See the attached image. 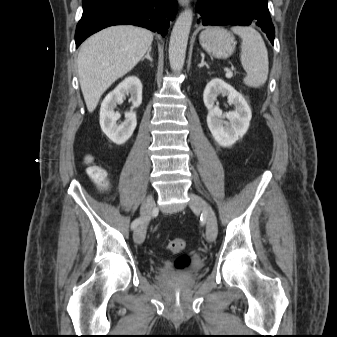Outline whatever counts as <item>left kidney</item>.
Masks as SVG:
<instances>
[{
  "label": "left kidney",
  "instance_id": "5707ae66",
  "mask_svg": "<svg viewBox=\"0 0 337 337\" xmlns=\"http://www.w3.org/2000/svg\"><path fill=\"white\" fill-rule=\"evenodd\" d=\"M218 95L227 96L228 102L234 105L235 110L223 114L222 110L214 105ZM203 101L208 109V128L220 146H232L245 135L249 128L252 112L245 98L232 86L222 79H212L206 85Z\"/></svg>",
  "mask_w": 337,
  "mask_h": 337
}]
</instances>
